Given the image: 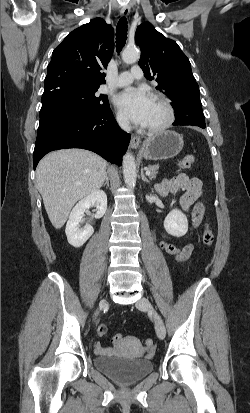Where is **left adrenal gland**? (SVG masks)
<instances>
[{
    "label": "left adrenal gland",
    "mask_w": 250,
    "mask_h": 413,
    "mask_svg": "<svg viewBox=\"0 0 250 413\" xmlns=\"http://www.w3.org/2000/svg\"><path fill=\"white\" fill-rule=\"evenodd\" d=\"M141 178H142L143 181L149 183V180H148V179L146 178V176L144 175V171H143V170H141Z\"/></svg>",
    "instance_id": "obj_1"
}]
</instances>
